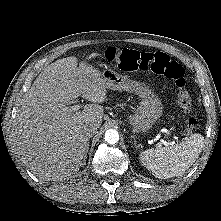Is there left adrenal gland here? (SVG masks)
Segmentation results:
<instances>
[{
	"instance_id": "left-adrenal-gland-1",
	"label": "left adrenal gland",
	"mask_w": 221,
	"mask_h": 221,
	"mask_svg": "<svg viewBox=\"0 0 221 221\" xmlns=\"http://www.w3.org/2000/svg\"><path fill=\"white\" fill-rule=\"evenodd\" d=\"M132 139H134V145H135L136 148H137V147H138V146H137V141L135 140V137H134L133 135H131V141H132ZM131 141H130V142H131Z\"/></svg>"
}]
</instances>
